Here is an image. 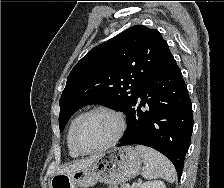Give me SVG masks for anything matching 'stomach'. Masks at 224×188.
<instances>
[{"instance_id": "stomach-1", "label": "stomach", "mask_w": 224, "mask_h": 188, "mask_svg": "<svg viewBox=\"0 0 224 188\" xmlns=\"http://www.w3.org/2000/svg\"><path fill=\"white\" fill-rule=\"evenodd\" d=\"M142 157L131 146L113 148L90 166L69 173L56 174L50 188H88L98 181L116 186L136 177L141 170Z\"/></svg>"}]
</instances>
